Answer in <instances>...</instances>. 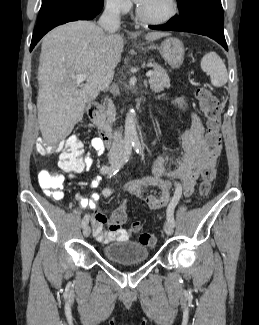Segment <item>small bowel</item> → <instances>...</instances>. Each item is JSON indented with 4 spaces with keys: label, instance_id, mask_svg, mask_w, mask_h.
<instances>
[{
    "label": "small bowel",
    "instance_id": "obj_1",
    "mask_svg": "<svg viewBox=\"0 0 259 325\" xmlns=\"http://www.w3.org/2000/svg\"><path fill=\"white\" fill-rule=\"evenodd\" d=\"M175 104L180 109H185L183 100H177ZM181 141L184 153L178 158L173 169L167 170L164 158L158 156L152 165V175L129 181L125 185L124 190L131 196L143 198L153 210H159L167 206L171 199L174 181L176 180L182 182V185H180L181 194L185 197H190L203 171L215 166L221 152V145L218 143L216 146L211 147L208 144L204 136V127L196 113L190 114V123L184 129ZM90 144L97 153H103L105 150V146L99 137L92 138ZM92 162V156L87 154L79 159L76 166L65 168V171L70 173V177H74L75 174L81 173L90 167ZM59 164L62 166L61 161ZM100 179V176L93 179L91 186L97 187ZM148 187L160 189V195H145V189ZM100 195L108 198L113 196V191L110 188H104ZM100 195L93 194L90 198H84L79 194L76 195L82 208H88L93 211L91 224L95 238L105 244L114 240H129L132 231L121 227V225L116 226L110 222L109 230L104 229L107 218L102 212L97 210V201Z\"/></svg>",
    "mask_w": 259,
    "mask_h": 325
}]
</instances>
